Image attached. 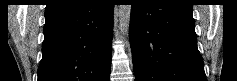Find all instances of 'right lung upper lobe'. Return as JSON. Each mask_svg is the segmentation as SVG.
<instances>
[{
	"instance_id": "right-lung-upper-lobe-1",
	"label": "right lung upper lobe",
	"mask_w": 237,
	"mask_h": 81,
	"mask_svg": "<svg viewBox=\"0 0 237 81\" xmlns=\"http://www.w3.org/2000/svg\"><path fill=\"white\" fill-rule=\"evenodd\" d=\"M73 1H75V0H50L49 4L46 5L45 11L64 6V5H66L70 2H73Z\"/></svg>"
}]
</instances>
